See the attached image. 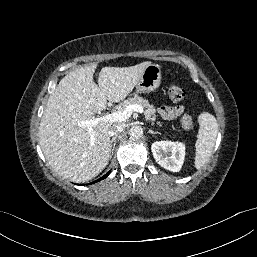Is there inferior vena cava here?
Listing matches in <instances>:
<instances>
[{
	"mask_svg": "<svg viewBox=\"0 0 257 257\" xmlns=\"http://www.w3.org/2000/svg\"><path fill=\"white\" fill-rule=\"evenodd\" d=\"M124 129L123 125L121 124H114L112 125V127L110 128L108 135L109 136H116L117 134H119L120 132H122Z\"/></svg>",
	"mask_w": 257,
	"mask_h": 257,
	"instance_id": "obj_1",
	"label": "inferior vena cava"
}]
</instances>
